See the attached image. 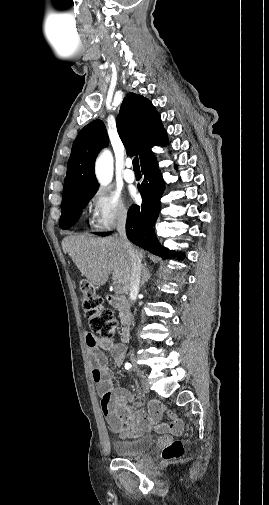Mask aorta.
<instances>
[{"label": "aorta", "instance_id": "aorta-1", "mask_svg": "<svg viewBox=\"0 0 269 505\" xmlns=\"http://www.w3.org/2000/svg\"><path fill=\"white\" fill-rule=\"evenodd\" d=\"M95 173L99 183L108 185L113 177V157L109 151H104L96 160Z\"/></svg>", "mask_w": 269, "mask_h": 505}]
</instances>
